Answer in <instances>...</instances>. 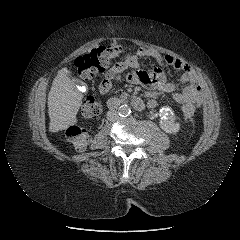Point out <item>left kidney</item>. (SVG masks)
I'll use <instances>...</instances> for the list:
<instances>
[{"instance_id": "obj_1", "label": "left kidney", "mask_w": 240, "mask_h": 240, "mask_svg": "<svg viewBox=\"0 0 240 240\" xmlns=\"http://www.w3.org/2000/svg\"><path fill=\"white\" fill-rule=\"evenodd\" d=\"M160 117L159 125L166 133L175 134L179 131L180 124L175 122L176 118L170 107H162Z\"/></svg>"}]
</instances>
